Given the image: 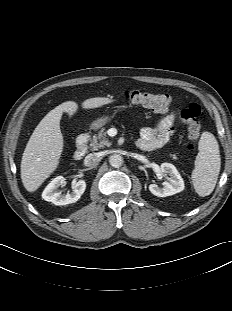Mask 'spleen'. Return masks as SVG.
<instances>
[{"label":"spleen","instance_id":"3e777b00","mask_svg":"<svg viewBox=\"0 0 232 311\" xmlns=\"http://www.w3.org/2000/svg\"><path fill=\"white\" fill-rule=\"evenodd\" d=\"M199 153L192 172V183L196 193L205 197L212 193L221 168L219 145L215 136L203 132L198 142Z\"/></svg>","mask_w":232,"mask_h":311}]
</instances>
